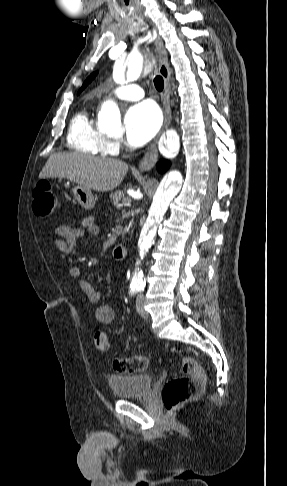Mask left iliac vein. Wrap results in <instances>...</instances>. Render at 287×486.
<instances>
[{"label": "left iliac vein", "instance_id": "4c4485c4", "mask_svg": "<svg viewBox=\"0 0 287 486\" xmlns=\"http://www.w3.org/2000/svg\"><path fill=\"white\" fill-rule=\"evenodd\" d=\"M144 305H145V297L144 295L139 294L136 300V309L141 317L147 318L149 314L145 310Z\"/></svg>", "mask_w": 287, "mask_h": 486}]
</instances>
